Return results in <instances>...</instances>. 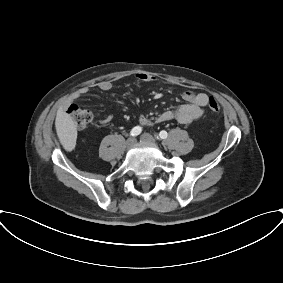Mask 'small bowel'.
Segmentation results:
<instances>
[{
	"label": "small bowel",
	"mask_w": 283,
	"mask_h": 283,
	"mask_svg": "<svg viewBox=\"0 0 283 283\" xmlns=\"http://www.w3.org/2000/svg\"><path fill=\"white\" fill-rule=\"evenodd\" d=\"M137 80L143 83H149L156 80V77L146 73H139L136 76ZM98 88L102 92H108L112 89V84L108 81H103L99 83ZM89 89L87 87L81 88L75 95V99H79L89 94ZM182 98L185 104L180 105L175 110H166L158 115L156 118L157 122H167L171 120H176L181 124H189L203 114V108L208 103V95L205 93H194L191 91H185L182 94ZM113 115L108 114L105 117L98 120L101 125L108 124L112 121ZM140 123L143 126H151L153 122L146 116H140Z\"/></svg>",
	"instance_id": "small-bowel-1"
}]
</instances>
